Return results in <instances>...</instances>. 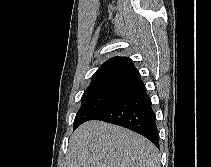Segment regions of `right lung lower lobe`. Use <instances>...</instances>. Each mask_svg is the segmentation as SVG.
I'll return each instance as SVG.
<instances>
[{
	"instance_id": "obj_1",
	"label": "right lung lower lobe",
	"mask_w": 211,
	"mask_h": 167,
	"mask_svg": "<svg viewBox=\"0 0 211 167\" xmlns=\"http://www.w3.org/2000/svg\"><path fill=\"white\" fill-rule=\"evenodd\" d=\"M90 120H101L135 131L157 147L159 137L156 116L152 110L151 99L146 93L140 78L132 81L131 87Z\"/></svg>"
}]
</instances>
